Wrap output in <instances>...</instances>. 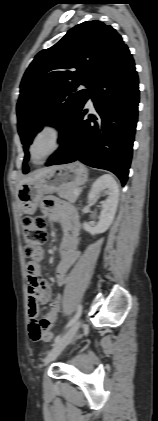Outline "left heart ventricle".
Instances as JSON below:
<instances>
[{
  "label": "left heart ventricle",
  "mask_w": 158,
  "mask_h": 421,
  "mask_svg": "<svg viewBox=\"0 0 158 421\" xmlns=\"http://www.w3.org/2000/svg\"><path fill=\"white\" fill-rule=\"evenodd\" d=\"M53 146V136L50 132L43 133L33 146L34 159L39 160L46 155Z\"/></svg>",
  "instance_id": "left-heart-ventricle-1"
}]
</instances>
